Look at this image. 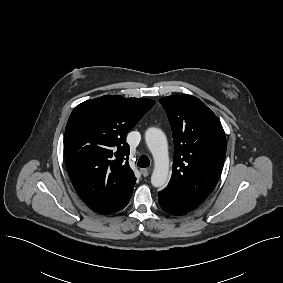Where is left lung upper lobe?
Masks as SVG:
<instances>
[{"instance_id": "1", "label": "left lung upper lobe", "mask_w": 283, "mask_h": 283, "mask_svg": "<svg viewBox=\"0 0 283 283\" xmlns=\"http://www.w3.org/2000/svg\"><path fill=\"white\" fill-rule=\"evenodd\" d=\"M174 138L172 177L166 187L192 210L214 189L225 159L226 139L216 115L199 99L183 94L159 100Z\"/></svg>"}]
</instances>
